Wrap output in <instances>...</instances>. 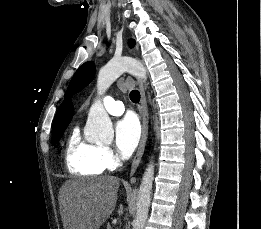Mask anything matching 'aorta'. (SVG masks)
<instances>
[{
	"label": "aorta",
	"mask_w": 261,
	"mask_h": 229,
	"mask_svg": "<svg viewBox=\"0 0 261 229\" xmlns=\"http://www.w3.org/2000/svg\"><path fill=\"white\" fill-rule=\"evenodd\" d=\"M123 72H130V74L139 76V78H146V68L140 60L130 58V56L111 58V60L99 70L97 78L98 94H103V92L109 88L110 84H112L120 74H123ZM87 127L88 135L91 139H94V141H103V139H107V137H112L113 135L111 119H109V115H107L99 98L93 102L88 112ZM154 171V163L150 161L144 171L139 187L136 217L132 223L133 229H144V225L147 221L153 189Z\"/></svg>",
	"instance_id": "762f6f07"
}]
</instances>
